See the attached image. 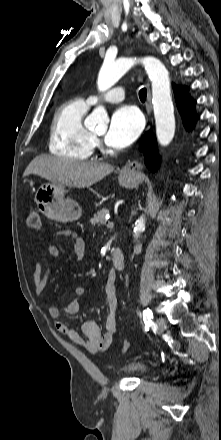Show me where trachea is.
I'll list each match as a JSON object with an SVG mask.
<instances>
[{
    "mask_svg": "<svg viewBox=\"0 0 221 440\" xmlns=\"http://www.w3.org/2000/svg\"><path fill=\"white\" fill-rule=\"evenodd\" d=\"M146 95H147L146 88H142V89L139 91V98H140V100H141L142 102H144V101L146 100Z\"/></svg>",
    "mask_w": 221,
    "mask_h": 440,
    "instance_id": "obj_1",
    "label": "trachea"
}]
</instances>
